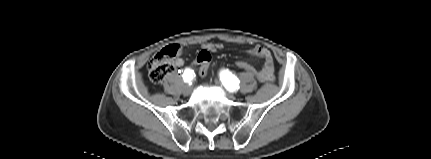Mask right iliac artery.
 I'll return each instance as SVG.
<instances>
[{
  "label": "right iliac artery",
  "mask_w": 431,
  "mask_h": 159,
  "mask_svg": "<svg viewBox=\"0 0 431 159\" xmlns=\"http://www.w3.org/2000/svg\"><path fill=\"white\" fill-rule=\"evenodd\" d=\"M194 76H195L194 71L190 68L185 69L182 75L183 80L186 83H190V81L193 79Z\"/></svg>",
  "instance_id": "obj_1"
}]
</instances>
